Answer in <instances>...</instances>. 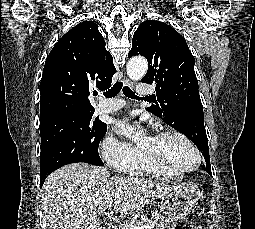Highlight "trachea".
<instances>
[{"label": "trachea", "instance_id": "3493384b", "mask_svg": "<svg viewBox=\"0 0 255 229\" xmlns=\"http://www.w3.org/2000/svg\"><path fill=\"white\" fill-rule=\"evenodd\" d=\"M122 87H123V83L122 82L115 83L113 85V87H111V89H109L108 91H106L104 93L105 97H107V98L114 97L115 95H117L120 92ZM123 93L128 98H132V99H139L140 98V97H137L135 95V93L128 86H124L123 87ZM95 95H97V93Z\"/></svg>", "mask_w": 255, "mask_h": 229}]
</instances>
